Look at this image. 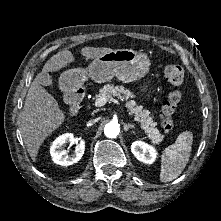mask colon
I'll return each instance as SVG.
<instances>
[{"mask_svg": "<svg viewBox=\"0 0 221 221\" xmlns=\"http://www.w3.org/2000/svg\"><path fill=\"white\" fill-rule=\"evenodd\" d=\"M164 75L166 80L175 86V89L163 100L160 111L162 128L169 133L174 128L172 116L182 98L180 87L184 82V71L179 65H167L164 69Z\"/></svg>", "mask_w": 221, "mask_h": 221, "instance_id": "colon-1", "label": "colon"}]
</instances>
